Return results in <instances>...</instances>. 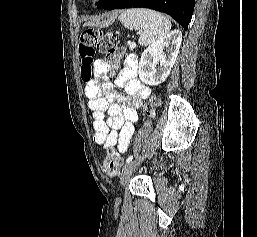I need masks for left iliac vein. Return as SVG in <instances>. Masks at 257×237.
<instances>
[{
	"label": "left iliac vein",
	"mask_w": 257,
	"mask_h": 237,
	"mask_svg": "<svg viewBox=\"0 0 257 237\" xmlns=\"http://www.w3.org/2000/svg\"><path fill=\"white\" fill-rule=\"evenodd\" d=\"M137 164H138V159H135V160L131 161L130 163H128L124 167L123 172H122L121 177H120L121 187H123L127 183L128 179L130 178V176L134 172Z\"/></svg>",
	"instance_id": "left-iliac-vein-1"
}]
</instances>
